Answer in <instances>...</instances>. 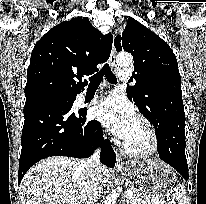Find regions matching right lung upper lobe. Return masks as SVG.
I'll list each match as a JSON object with an SVG mask.
<instances>
[{"instance_id": "cb5924a9", "label": "right lung upper lobe", "mask_w": 206, "mask_h": 204, "mask_svg": "<svg viewBox=\"0 0 206 204\" xmlns=\"http://www.w3.org/2000/svg\"><path fill=\"white\" fill-rule=\"evenodd\" d=\"M113 37L103 35L86 17L64 21L50 29L34 46L27 69L26 99L57 94L77 95L84 75L98 71L108 60Z\"/></svg>"}]
</instances>
